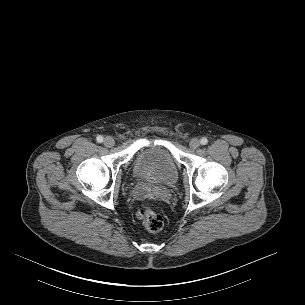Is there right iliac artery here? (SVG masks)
Masks as SVG:
<instances>
[{"label":"right iliac artery","mask_w":305,"mask_h":305,"mask_svg":"<svg viewBox=\"0 0 305 305\" xmlns=\"http://www.w3.org/2000/svg\"><path fill=\"white\" fill-rule=\"evenodd\" d=\"M97 142L101 143L103 142V137L101 135L97 136L96 138Z\"/></svg>","instance_id":"82829eb1"}]
</instances>
